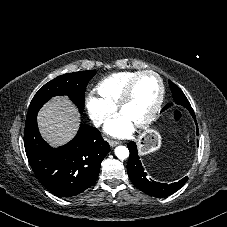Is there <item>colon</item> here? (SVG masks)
<instances>
[{"mask_svg":"<svg viewBox=\"0 0 227 227\" xmlns=\"http://www.w3.org/2000/svg\"><path fill=\"white\" fill-rule=\"evenodd\" d=\"M173 117L176 121L180 120L182 118V113L181 111L177 110L173 113Z\"/></svg>","mask_w":227,"mask_h":227,"instance_id":"1","label":"colon"}]
</instances>
